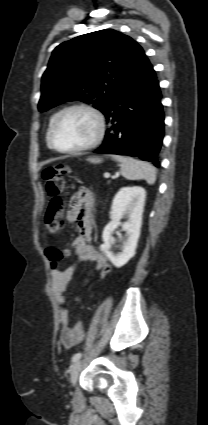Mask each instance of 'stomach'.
<instances>
[{"instance_id":"obj_1","label":"stomach","mask_w":208,"mask_h":425,"mask_svg":"<svg viewBox=\"0 0 208 425\" xmlns=\"http://www.w3.org/2000/svg\"><path fill=\"white\" fill-rule=\"evenodd\" d=\"M87 160L91 163H100L101 162V159L96 158V157H89Z\"/></svg>"}]
</instances>
